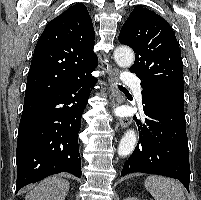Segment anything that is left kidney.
I'll return each instance as SVG.
<instances>
[{
    "mask_svg": "<svg viewBox=\"0 0 201 200\" xmlns=\"http://www.w3.org/2000/svg\"><path fill=\"white\" fill-rule=\"evenodd\" d=\"M124 200H139V199H137V198H135V197H128V198H126V199H124Z\"/></svg>",
    "mask_w": 201,
    "mask_h": 200,
    "instance_id": "left-kidney-1",
    "label": "left kidney"
}]
</instances>
